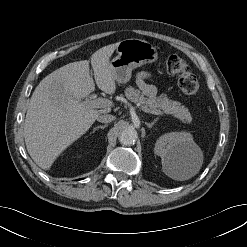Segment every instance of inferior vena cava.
Instances as JSON below:
<instances>
[{"mask_svg":"<svg viewBox=\"0 0 247 247\" xmlns=\"http://www.w3.org/2000/svg\"><path fill=\"white\" fill-rule=\"evenodd\" d=\"M114 120H115V116H113L111 114H100L97 117V121H99L101 123H110Z\"/></svg>","mask_w":247,"mask_h":247,"instance_id":"602c4592","label":"inferior vena cava"}]
</instances>
